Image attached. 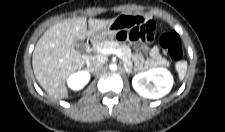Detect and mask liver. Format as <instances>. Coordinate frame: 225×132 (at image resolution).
I'll return each mask as SVG.
<instances>
[{
    "mask_svg": "<svg viewBox=\"0 0 225 132\" xmlns=\"http://www.w3.org/2000/svg\"><path fill=\"white\" fill-rule=\"evenodd\" d=\"M114 22L115 18L109 20L71 18L45 31L36 43L32 66L38 83L51 97L63 99L68 96L65 85L68 77L81 69L89 58L74 47V42L90 38L95 32Z\"/></svg>",
    "mask_w": 225,
    "mask_h": 132,
    "instance_id": "6515ba94",
    "label": "liver"
}]
</instances>
